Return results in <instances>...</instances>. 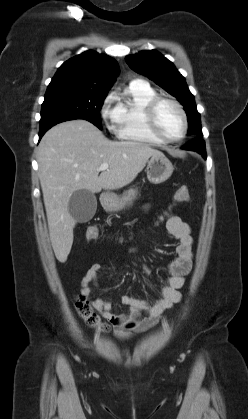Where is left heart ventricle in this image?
Listing matches in <instances>:
<instances>
[{
	"instance_id": "b2bd125f",
	"label": "left heart ventricle",
	"mask_w": 248,
	"mask_h": 419,
	"mask_svg": "<svg viewBox=\"0 0 248 419\" xmlns=\"http://www.w3.org/2000/svg\"><path fill=\"white\" fill-rule=\"evenodd\" d=\"M158 130L167 138H177L183 130L182 118L178 110L170 103H161L156 111Z\"/></svg>"
}]
</instances>
